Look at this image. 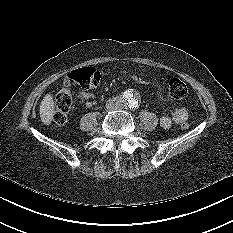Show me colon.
I'll return each instance as SVG.
<instances>
[{"label":"colon","mask_w":233,"mask_h":233,"mask_svg":"<svg viewBox=\"0 0 233 233\" xmlns=\"http://www.w3.org/2000/svg\"><path fill=\"white\" fill-rule=\"evenodd\" d=\"M108 73L109 69L107 68L96 69L94 67L80 68L69 73L64 80L63 88L57 93L55 98L54 123L62 126L67 122L68 115L73 107L72 89L74 87L95 88ZM166 85L167 93L173 99H183L188 94L186 84L178 77L167 76ZM180 127L186 130L189 128V123L184 121Z\"/></svg>","instance_id":"obj_1"}]
</instances>
